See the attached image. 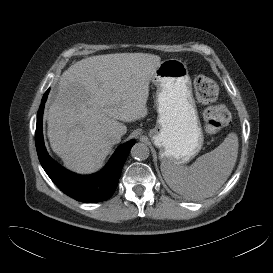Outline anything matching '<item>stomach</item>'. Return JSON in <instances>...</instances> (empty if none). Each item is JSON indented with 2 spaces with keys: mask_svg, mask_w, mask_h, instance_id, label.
I'll use <instances>...</instances> for the list:
<instances>
[{
  "mask_svg": "<svg viewBox=\"0 0 273 273\" xmlns=\"http://www.w3.org/2000/svg\"><path fill=\"white\" fill-rule=\"evenodd\" d=\"M152 82L157 88L158 116L149 136L161 162L183 165L200 152L204 142L187 66L178 59L164 60Z\"/></svg>",
  "mask_w": 273,
  "mask_h": 273,
  "instance_id": "obj_1",
  "label": "stomach"
}]
</instances>
